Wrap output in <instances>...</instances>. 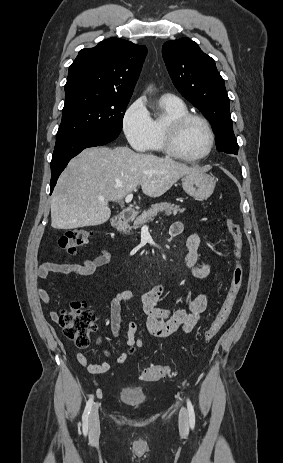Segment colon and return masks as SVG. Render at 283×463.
<instances>
[{
    "instance_id": "colon-1",
    "label": "colon",
    "mask_w": 283,
    "mask_h": 463,
    "mask_svg": "<svg viewBox=\"0 0 283 463\" xmlns=\"http://www.w3.org/2000/svg\"><path fill=\"white\" fill-rule=\"evenodd\" d=\"M225 225L234 242L235 262L228 292L218 313L204 334V343L210 342L225 325L243 285L244 270L241 263L242 231L232 218L227 217ZM91 235L92 231L89 229L69 230L59 238L58 249L67 255H73L79 247L88 242ZM57 320L65 334L79 347L88 345L90 334L97 327L94 313L86 309L81 302H74L68 309L61 311ZM169 373L170 369L167 366L152 365L143 370L141 377L144 381L156 382L168 376Z\"/></svg>"
}]
</instances>
